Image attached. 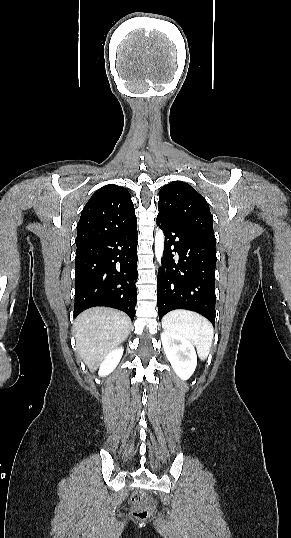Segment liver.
<instances>
[{
    "mask_svg": "<svg viewBox=\"0 0 291 538\" xmlns=\"http://www.w3.org/2000/svg\"><path fill=\"white\" fill-rule=\"evenodd\" d=\"M130 326L125 313L104 307L90 308L75 319L76 350L90 371L127 339Z\"/></svg>",
    "mask_w": 291,
    "mask_h": 538,
    "instance_id": "obj_1",
    "label": "liver"
}]
</instances>
